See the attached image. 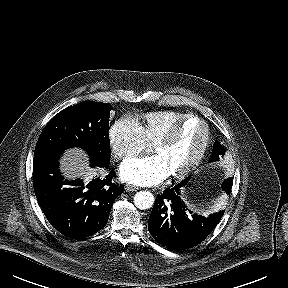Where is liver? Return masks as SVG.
I'll return each mask as SVG.
<instances>
[{
  "instance_id": "1",
  "label": "liver",
  "mask_w": 288,
  "mask_h": 288,
  "mask_svg": "<svg viewBox=\"0 0 288 288\" xmlns=\"http://www.w3.org/2000/svg\"><path fill=\"white\" fill-rule=\"evenodd\" d=\"M61 171L68 178L83 175L86 180L92 179L95 172L88 167L86 155L79 149H71L60 160Z\"/></svg>"
}]
</instances>
